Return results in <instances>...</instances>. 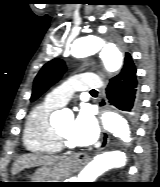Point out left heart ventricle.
Listing matches in <instances>:
<instances>
[{
  "instance_id": "obj_1",
  "label": "left heart ventricle",
  "mask_w": 160,
  "mask_h": 187,
  "mask_svg": "<svg viewBox=\"0 0 160 187\" xmlns=\"http://www.w3.org/2000/svg\"><path fill=\"white\" fill-rule=\"evenodd\" d=\"M57 129L65 135L67 138H71V129H72V122L71 121H66L61 123Z\"/></svg>"
}]
</instances>
